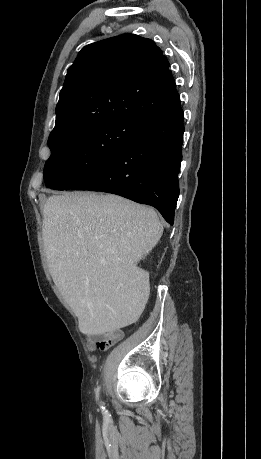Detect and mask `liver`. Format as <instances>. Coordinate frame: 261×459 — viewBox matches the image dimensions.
<instances>
[{
  "label": "liver",
  "mask_w": 261,
  "mask_h": 459,
  "mask_svg": "<svg viewBox=\"0 0 261 459\" xmlns=\"http://www.w3.org/2000/svg\"><path fill=\"white\" fill-rule=\"evenodd\" d=\"M162 233L154 209L117 195L71 192L46 200L42 236L48 267L85 334L130 322L147 278L137 263Z\"/></svg>",
  "instance_id": "1"
}]
</instances>
